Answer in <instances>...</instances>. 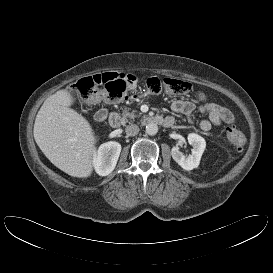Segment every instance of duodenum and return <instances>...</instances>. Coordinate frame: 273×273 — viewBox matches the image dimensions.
<instances>
[{"label":"duodenum","mask_w":273,"mask_h":273,"mask_svg":"<svg viewBox=\"0 0 273 273\" xmlns=\"http://www.w3.org/2000/svg\"><path fill=\"white\" fill-rule=\"evenodd\" d=\"M107 120L112 128H118L120 126L121 118L120 115L115 111H112L108 114ZM144 124L170 127L171 125H173V122L171 120H168L167 118H163L162 116L157 115L146 118L144 120Z\"/></svg>","instance_id":"obj_1"}]
</instances>
